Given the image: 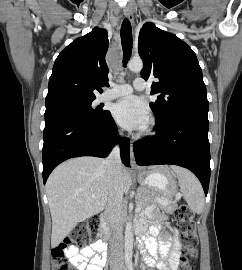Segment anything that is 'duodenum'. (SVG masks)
I'll use <instances>...</instances> for the list:
<instances>
[{
  "label": "duodenum",
  "instance_id": "410a0bca",
  "mask_svg": "<svg viewBox=\"0 0 242 270\" xmlns=\"http://www.w3.org/2000/svg\"><path fill=\"white\" fill-rule=\"evenodd\" d=\"M109 217H110V214L108 212H104L100 217L101 236H102L103 243L105 245V251H106V243L111 238V233L108 226Z\"/></svg>",
  "mask_w": 242,
  "mask_h": 270
}]
</instances>
